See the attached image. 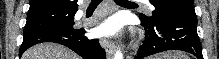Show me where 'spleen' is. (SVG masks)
Masks as SVG:
<instances>
[{"label": "spleen", "mask_w": 219, "mask_h": 59, "mask_svg": "<svg viewBox=\"0 0 219 59\" xmlns=\"http://www.w3.org/2000/svg\"><path fill=\"white\" fill-rule=\"evenodd\" d=\"M167 57H172V56H167ZM181 57H184V58H186L185 56H181ZM181 57H179V59H181ZM173 59H178V58H176V57H173Z\"/></svg>", "instance_id": "3e777b00"}]
</instances>
